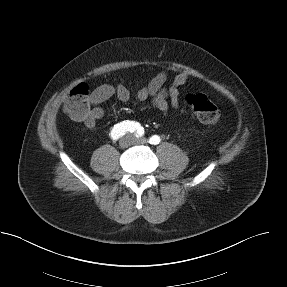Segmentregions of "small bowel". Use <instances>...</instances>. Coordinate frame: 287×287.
Instances as JSON below:
<instances>
[{
	"instance_id": "small-bowel-1",
	"label": "small bowel",
	"mask_w": 287,
	"mask_h": 287,
	"mask_svg": "<svg viewBox=\"0 0 287 287\" xmlns=\"http://www.w3.org/2000/svg\"><path fill=\"white\" fill-rule=\"evenodd\" d=\"M167 73L159 72L152 80L144 87L140 88L134 96L123 84L112 86L103 84L93 90L90 95V111L86 119L82 122L90 130H95L97 122L104 116L102 104L113 96H116L123 102H128L134 99L137 102H142L150 99L153 106L161 113L166 114L170 107H179L180 87L183 86L189 79V74L186 72L178 73L172 80L169 87L164 84L167 81Z\"/></svg>"
}]
</instances>
